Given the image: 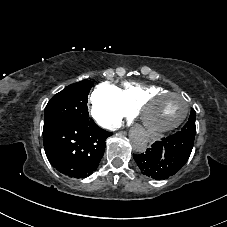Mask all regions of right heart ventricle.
<instances>
[{"instance_id": "right-heart-ventricle-1", "label": "right heart ventricle", "mask_w": 227, "mask_h": 227, "mask_svg": "<svg viewBox=\"0 0 227 227\" xmlns=\"http://www.w3.org/2000/svg\"><path fill=\"white\" fill-rule=\"evenodd\" d=\"M166 90L164 87L154 84L139 82H125L120 88L121 99L127 109L134 111L138 102L146 95Z\"/></svg>"}]
</instances>
